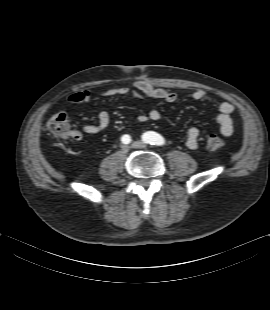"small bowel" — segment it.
Listing matches in <instances>:
<instances>
[{
  "label": "small bowel",
  "mask_w": 270,
  "mask_h": 310,
  "mask_svg": "<svg viewBox=\"0 0 270 310\" xmlns=\"http://www.w3.org/2000/svg\"><path fill=\"white\" fill-rule=\"evenodd\" d=\"M130 95L137 99H152L161 100L166 103H174L178 99V95L175 92L168 91L161 88H156L145 81H136L132 87L121 86L106 89L100 93V96L105 98L121 97ZM189 99L195 101H209L210 95L203 89H196L188 95ZM68 100L71 103H89L92 100L91 93L88 90L82 89L71 93L68 96ZM219 114L216 117L217 123L220 126L221 133L228 137L231 136L234 130V121L232 114L235 107L232 103L223 101L218 105ZM140 123H145L149 120L158 121L161 119V113L157 109H151L146 114H140L138 116ZM111 116L108 111L102 110L99 112L97 122L94 124H84L81 126L80 131L76 132V140H80L82 133L97 134L105 130L110 124ZM201 134V130L197 127H190L186 134V146L190 149H197L198 139Z\"/></svg>",
  "instance_id": "obj_1"
}]
</instances>
